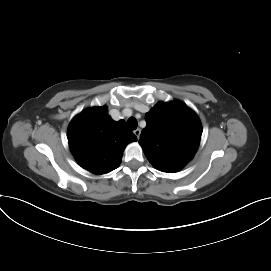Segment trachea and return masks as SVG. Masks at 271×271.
I'll use <instances>...</instances> for the list:
<instances>
[{
    "label": "trachea",
    "mask_w": 271,
    "mask_h": 271,
    "mask_svg": "<svg viewBox=\"0 0 271 271\" xmlns=\"http://www.w3.org/2000/svg\"><path fill=\"white\" fill-rule=\"evenodd\" d=\"M137 120L134 117H131L127 120V126L131 130H135L137 128Z\"/></svg>",
    "instance_id": "1"
}]
</instances>
